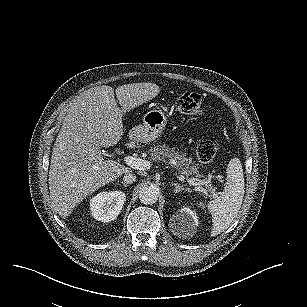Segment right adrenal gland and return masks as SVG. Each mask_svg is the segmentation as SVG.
Returning a JSON list of instances; mask_svg holds the SVG:
<instances>
[{"instance_id": "obj_1", "label": "right adrenal gland", "mask_w": 307, "mask_h": 307, "mask_svg": "<svg viewBox=\"0 0 307 307\" xmlns=\"http://www.w3.org/2000/svg\"><path fill=\"white\" fill-rule=\"evenodd\" d=\"M122 184H123L124 187H127V184H126V183L122 182Z\"/></svg>"}]
</instances>
